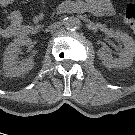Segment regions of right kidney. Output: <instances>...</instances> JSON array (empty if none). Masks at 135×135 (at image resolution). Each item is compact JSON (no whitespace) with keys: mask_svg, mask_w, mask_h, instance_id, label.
I'll return each instance as SVG.
<instances>
[{"mask_svg":"<svg viewBox=\"0 0 135 135\" xmlns=\"http://www.w3.org/2000/svg\"><path fill=\"white\" fill-rule=\"evenodd\" d=\"M32 40L28 36H21L14 39L4 52L3 70L7 76L17 77L28 73L34 67V60L24 59L21 62L16 61L18 52L22 46L31 45Z\"/></svg>","mask_w":135,"mask_h":135,"instance_id":"obj_1","label":"right kidney"}]
</instances>
